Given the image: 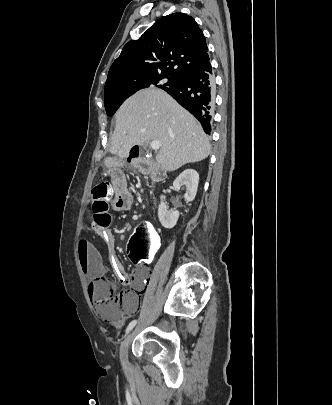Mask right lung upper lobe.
<instances>
[{
  "instance_id": "right-lung-upper-lobe-1",
  "label": "right lung upper lobe",
  "mask_w": 332,
  "mask_h": 405,
  "mask_svg": "<svg viewBox=\"0 0 332 405\" xmlns=\"http://www.w3.org/2000/svg\"><path fill=\"white\" fill-rule=\"evenodd\" d=\"M207 51L204 34L191 16L180 12L164 16L124 46L110 67L105 87L131 75L181 77L208 62Z\"/></svg>"
}]
</instances>
